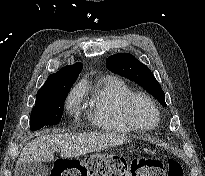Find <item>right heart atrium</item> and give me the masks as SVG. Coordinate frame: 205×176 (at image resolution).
<instances>
[{
  "label": "right heart atrium",
  "mask_w": 205,
  "mask_h": 176,
  "mask_svg": "<svg viewBox=\"0 0 205 176\" xmlns=\"http://www.w3.org/2000/svg\"><path fill=\"white\" fill-rule=\"evenodd\" d=\"M82 92L80 86L71 90L66 100V108L70 114H75L80 109Z\"/></svg>",
  "instance_id": "1"
}]
</instances>
